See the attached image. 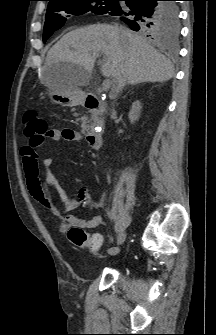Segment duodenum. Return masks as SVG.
<instances>
[{
    "instance_id": "1",
    "label": "duodenum",
    "mask_w": 216,
    "mask_h": 335,
    "mask_svg": "<svg viewBox=\"0 0 216 335\" xmlns=\"http://www.w3.org/2000/svg\"><path fill=\"white\" fill-rule=\"evenodd\" d=\"M84 105L96 114L95 121L86 134L88 144L93 149H99L102 143V129L104 126L101 118L105 106L104 102L96 96L89 95L85 98Z\"/></svg>"
}]
</instances>
